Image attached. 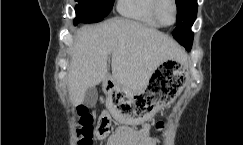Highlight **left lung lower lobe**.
<instances>
[{
	"label": "left lung lower lobe",
	"instance_id": "1",
	"mask_svg": "<svg viewBox=\"0 0 243 145\" xmlns=\"http://www.w3.org/2000/svg\"><path fill=\"white\" fill-rule=\"evenodd\" d=\"M178 42L183 45L187 50H190L193 42V32H191V26L188 27V35L178 40Z\"/></svg>",
	"mask_w": 243,
	"mask_h": 145
}]
</instances>
